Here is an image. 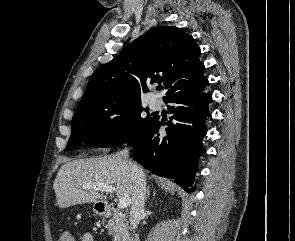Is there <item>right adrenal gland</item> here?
<instances>
[{
	"instance_id": "obj_1",
	"label": "right adrenal gland",
	"mask_w": 295,
	"mask_h": 241,
	"mask_svg": "<svg viewBox=\"0 0 295 241\" xmlns=\"http://www.w3.org/2000/svg\"><path fill=\"white\" fill-rule=\"evenodd\" d=\"M146 196H147V198L150 196V190H149V187H147V191H146Z\"/></svg>"
}]
</instances>
